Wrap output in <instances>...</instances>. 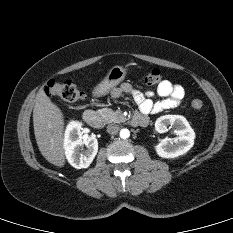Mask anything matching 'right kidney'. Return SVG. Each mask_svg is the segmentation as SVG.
<instances>
[{
    "label": "right kidney",
    "mask_w": 233,
    "mask_h": 233,
    "mask_svg": "<svg viewBox=\"0 0 233 233\" xmlns=\"http://www.w3.org/2000/svg\"><path fill=\"white\" fill-rule=\"evenodd\" d=\"M64 149L70 165L76 169L88 168L98 152V141L92 137L83 140L82 123L71 121L64 133Z\"/></svg>",
    "instance_id": "obj_1"
}]
</instances>
